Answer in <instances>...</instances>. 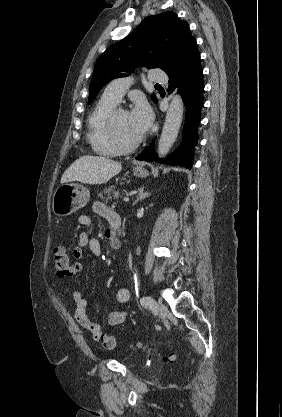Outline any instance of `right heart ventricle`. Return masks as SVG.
Listing matches in <instances>:
<instances>
[{
	"instance_id": "obj_1",
	"label": "right heart ventricle",
	"mask_w": 282,
	"mask_h": 417,
	"mask_svg": "<svg viewBox=\"0 0 282 417\" xmlns=\"http://www.w3.org/2000/svg\"><path fill=\"white\" fill-rule=\"evenodd\" d=\"M117 104V102L102 96L89 117L88 140L93 149L102 155H112L117 152L110 144L108 137L100 129L102 121Z\"/></svg>"
}]
</instances>
